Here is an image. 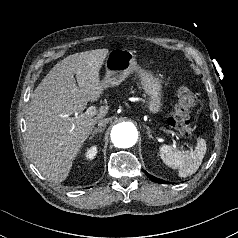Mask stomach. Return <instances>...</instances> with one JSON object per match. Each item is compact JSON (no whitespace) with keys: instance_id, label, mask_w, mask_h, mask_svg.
<instances>
[{"instance_id":"stomach-1","label":"stomach","mask_w":238,"mask_h":238,"mask_svg":"<svg viewBox=\"0 0 238 238\" xmlns=\"http://www.w3.org/2000/svg\"><path fill=\"white\" fill-rule=\"evenodd\" d=\"M106 73L102 80L105 88L121 84L131 73L136 71L141 86L148 96L147 107L150 113L157 114L162 107V81L152 73L141 69L135 54L127 49L111 51L105 62Z\"/></svg>"}]
</instances>
